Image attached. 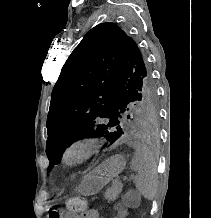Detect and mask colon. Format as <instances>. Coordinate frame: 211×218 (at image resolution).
Listing matches in <instances>:
<instances>
[{"label":"colon","mask_w":211,"mask_h":218,"mask_svg":"<svg viewBox=\"0 0 211 218\" xmlns=\"http://www.w3.org/2000/svg\"><path fill=\"white\" fill-rule=\"evenodd\" d=\"M86 203L82 198H71L67 201V208L70 213L83 211Z\"/></svg>","instance_id":"1"}]
</instances>
